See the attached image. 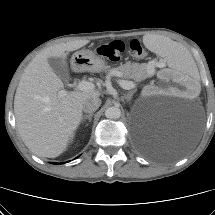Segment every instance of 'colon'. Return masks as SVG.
<instances>
[{
  "instance_id": "5ec220e1",
  "label": "colon",
  "mask_w": 215,
  "mask_h": 215,
  "mask_svg": "<svg viewBox=\"0 0 215 215\" xmlns=\"http://www.w3.org/2000/svg\"><path fill=\"white\" fill-rule=\"evenodd\" d=\"M128 45L134 56L140 58L145 55V50L138 39L130 40ZM124 50H125V43L120 40L102 44L97 48L98 54L114 61L120 58Z\"/></svg>"
}]
</instances>
